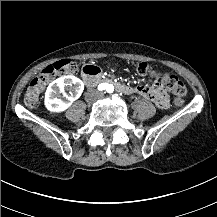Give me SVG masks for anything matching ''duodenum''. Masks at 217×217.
Wrapping results in <instances>:
<instances>
[{
  "label": "duodenum",
  "instance_id": "obj_1",
  "mask_svg": "<svg viewBox=\"0 0 217 217\" xmlns=\"http://www.w3.org/2000/svg\"><path fill=\"white\" fill-rule=\"evenodd\" d=\"M82 77H83L84 83L87 86H95V85H97V84H99L101 82H105V83H108V84H113L116 91L120 92V93H123V94L129 95V94H132L135 91L134 88H132V87H130L128 85H125V84H122V83H112L109 80H104L101 77L99 67H97L95 65H86L83 68Z\"/></svg>",
  "mask_w": 217,
  "mask_h": 217
}]
</instances>
